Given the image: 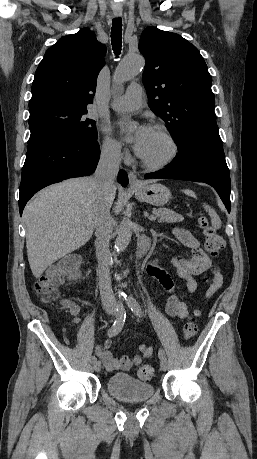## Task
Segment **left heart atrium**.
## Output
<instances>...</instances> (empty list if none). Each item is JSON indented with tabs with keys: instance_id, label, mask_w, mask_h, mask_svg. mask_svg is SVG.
Segmentation results:
<instances>
[{
	"instance_id": "39dd6f15",
	"label": "left heart atrium",
	"mask_w": 257,
	"mask_h": 459,
	"mask_svg": "<svg viewBox=\"0 0 257 459\" xmlns=\"http://www.w3.org/2000/svg\"><path fill=\"white\" fill-rule=\"evenodd\" d=\"M151 127L146 124L138 126L132 136L134 150L141 156L151 133Z\"/></svg>"
}]
</instances>
